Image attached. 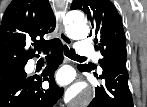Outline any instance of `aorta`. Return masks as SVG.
Returning <instances> with one entry per match:
<instances>
[{
	"instance_id": "aorta-1",
	"label": "aorta",
	"mask_w": 147,
	"mask_h": 107,
	"mask_svg": "<svg viewBox=\"0 0 147 107\" xmlns=\"http://www.w3.org/2000/svg\"><path fill=\"white\" fill-rule=\"evenodd\" d=\"M89 27L83 19L74 18L69 20L66 25L67 35L75 40L85 39L89 35ZM73 95L72 104L75 107H84L89 104L93 96L92 88L88 87L85 83H78L70 90Z\"/></svg>"
}]
</instances>
